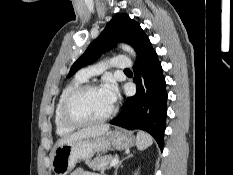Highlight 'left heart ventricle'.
I'll use <instances>...</instances> for the list:
<instances>
[{
  "label": "left heart ventricle",
  "mask_w": 233,
  "mask_h": 175,
  "mask_svg": "<svg viewBox=\"0 0 233 175\" xmlns=\"http://www.w3.org/2000/svg\"><path fill=\"white\" fill-rule=\"evenodd\" d=\"M112 106L102 88H99L79 97L72 107V112L79 119H95L108 113Z\"/></svg>",
  "instance_id": "b2bd125f"
}]
</instances>
